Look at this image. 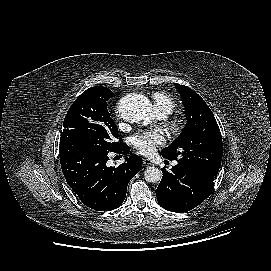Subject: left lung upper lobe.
Returning <instances> with one entry per match:
<instances>
[{
    "mask_svg": "<svg viewBox=\"0 0 271 271\" xmlns=\"http://www.w3.org/2000/svg\"><path fill=\"white\" fill-rule=\"evenodd\" d=\"M183 99L187 124L180 136L162 150V156L177 160L214 181L223 155L222 136L216 119L204 100L187 86L175 84Z\"/></svg>",
    "mask_w": 271,
    "mask_h": 271,
    "instance_id": "1",
    "label": "left lung upper lobe"
}]
</instances>
